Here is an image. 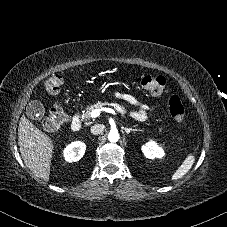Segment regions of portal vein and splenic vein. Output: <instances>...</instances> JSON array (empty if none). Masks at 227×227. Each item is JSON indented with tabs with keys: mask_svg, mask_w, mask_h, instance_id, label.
I'll return each mask as SVG.
<instances>
[{
	"mask_svg": "<svg viewBox=\"0 0 227 227\" xmlns=\"http://www.w3.org/2000/svg\"><path fill=\"white\" fill-rule=\"evenodd\" d=\"M100 111H105L111 114L116 115V112L111 108H102V109H95L91 112V118H97L100 115Z\"/></svg>",
	"mask_w": 227,
	"mask_h": 227,
	"instance_id": "portal-vein-and-splenic-vein-1",
	"label": "portal vein and splenic vein"
}]
</instances>
